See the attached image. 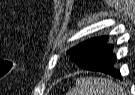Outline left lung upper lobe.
<instances>
[{"label":"left lung upper lobe","instance_id":"left-lung-upper-lobe-1","mask_svg":"<svg viewBox=\"0 0 135 95\" xmlns=\"http://www.w3.org/2000/svg\"><path fill=\"white\" fill-rule=\"evenodd\" d=\"M106 39V37H97L86 40L79 45L71 48L67 53L72 57L74 62L82 67L90 54L94 52L95 49Z\"/></svg>","mask_w":135,"mask_h":95}]
</instances>
